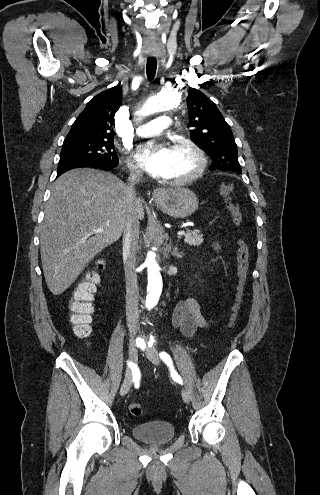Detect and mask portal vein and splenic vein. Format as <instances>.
<instances>
[{
  "instance_id": "18ae733b",
  "label": "portal vein and splenic vein",
  "mask_w": 320,
  "mask_h": 495,
  "mask_svg": "<svg viewBox=\"0 0 320 495\" xmlns=\"http://www.w3.org/2000/svg\"><path fill=\"white\" fill-rule=\"evenodd\" d=\"M177 234H178L179 236H182V235H184V234H185V232H184V231H179Z\"/></svg>"
}]
</instances>
